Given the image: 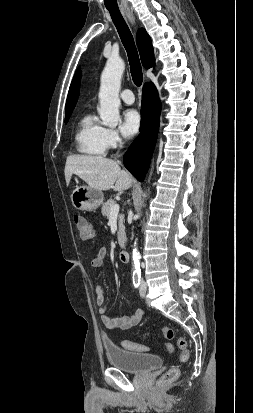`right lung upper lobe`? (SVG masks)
Returning <instances> with one entry per match:
<instances>
[{"instance_id": "cb5924a9", "label": "right lung upper lobe", "mask_w": 253, "mask_h": 413, "mask_svg": "<svg viewBox=\"0 0 253 413\" xmlns=\"http://www.w3.org/2000/svg\"><path fill=\"white\" fill-rule=\"evenodd\" d=\"M137 45L140 53L142 64L145 68H151L155 65L154 50L152 47L151 39L146 30L140 28L137 31ZM79 80V71L77 70L73 81L70 85L68 97L65 106V116L71 115L72 110L76 104L78 98V91L76 85Z\"/></svg>"}]
</instances>
